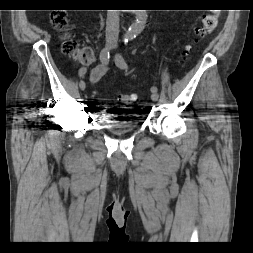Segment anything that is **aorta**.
<instances>
[{"label":"aorta","instance_id":"aorta-1","mask_svg":"<svg viewBox=\"0 0 253 253\" xmlns=\"http://www.w3.org/2000/svg\"><path fill=\"white\" fill-rule=\"evenodd\" d=\"M136 22L132 23L129 27V30L126 34V37L131 38L140 34L144 29L146 20H147V11L146 10H135Z\"/></svg>","mask_w":253,"mask_h":253}]
</instances>
